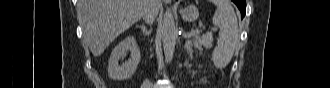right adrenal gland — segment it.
Listing matches in <instances>:
<instances>
[{"instance_id":"1","label":"right adrenal gland","mask_w":330,"mask_h":88,"mask_svg":"<svg viewBox=\"0 0 330 88\" xmlns=\"http://www.w3.org/2000/svg\"><path fill=\"white\" fill-rule=\"evenodd\" d=\"M137 27L141 29V31L143 32V34L145 36H148L149 35V31L147 30V28L145 27V25H137Z\"/></svg>"}]
</instances>
